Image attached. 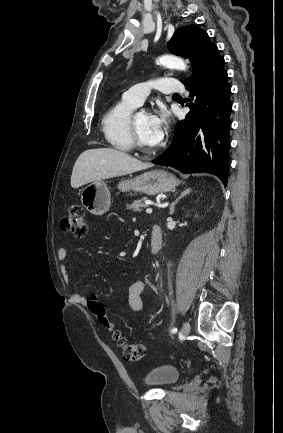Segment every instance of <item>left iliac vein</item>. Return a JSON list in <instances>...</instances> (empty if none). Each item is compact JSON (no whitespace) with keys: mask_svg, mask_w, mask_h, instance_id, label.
Masks as SVG:
<instances>
[{"mask_svg":"<svg viewBox=\"0 0 283 433\" xmlns=\"http://www.w3.org/2000/svg\"><path fill=\"white\" fill-rule=\"evenodd\" d=\"M189 333H190V324L189 322H184L181 329V335L183 337H186Z\"/></svg>","mask_w":283,"mask_h":433,"instance_id":"left-iliac-vein-1","label":"left iliac vein"}]
</instances>
